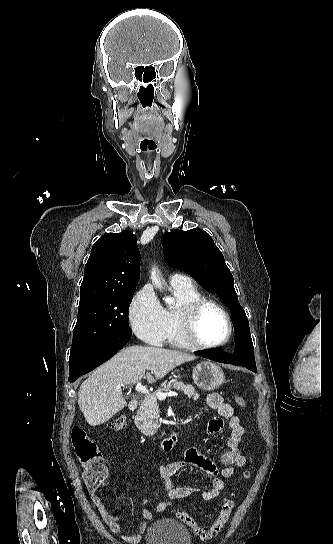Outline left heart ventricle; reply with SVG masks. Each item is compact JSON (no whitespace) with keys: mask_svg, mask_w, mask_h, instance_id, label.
I'll use <instances>...</instances> for the list:
<instances>
[{"mask_svg":"<svg viewBox=\"0 0 333 544\" xmlns=\"http://www.w3.org/2000/svg\"><path fill=\"white\" fill-rule=\"evenodd\" d=\"M196 331L198 339L206 344L224 340L228 327L223 313L213 305L205 307L199 316Z\"/></svg>","mask_w":333,"mask_h":544,"instance_id":"left-heart-ventricle-1","label":"left heart ventricle"}]
</instances>
